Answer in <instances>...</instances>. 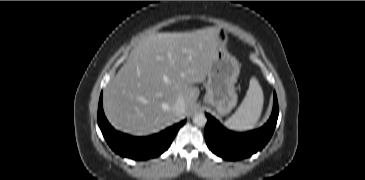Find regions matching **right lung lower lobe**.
<instances>
[{
	"label": "right lung lower lobe",
	"instance_id": "right-lung-lower-lobe-1",
	"mask_svg": "<svg viewBox=\"0 0 365 180\" xmlns=\"http://www.w3.org/2000/svg\"><path fill=\"white\" fill-rule=\"evenodd\" d=\"M185 120L161 133L148 137H133L124 133L117 132L108 123L102 106V94L98 105V125L101 132L112 148V150L127 158L134 160H146L157 157L167 150L172 143L178 129L185 124Z\"/></svg>",
	"mask_w": 365,
	"mask_h": 180
}]
</instances>
